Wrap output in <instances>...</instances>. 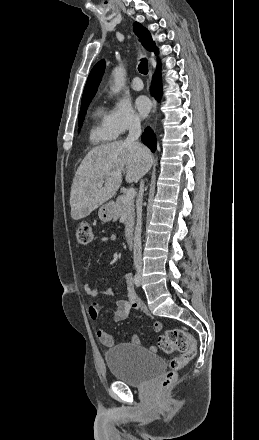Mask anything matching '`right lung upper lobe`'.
Returning <instances> with one entry per match:
<instances>
[{
    "label": "right lung upper lobe",
    "mask_w": 259,
    "mask_h": 440,
    "mask_svg": "<svg viewBox=\"0 0 259 440\" xmlns=\"http://www.w3.org/2000/svg\"><path fill=\"white\" fill-rule=\"evenodd\" d=\"M134 31L138 36L141 44L146 50L154 51L155 54H158V49L155 46V43L152 40V37L149 31L143 27L140 23L135 22L133 24ZM105 70V61H99L91 70L90 75L88 77L87 83L84 88L82 100L93 98L97 92L98 85L102 79Z\"/></svg>",
    "instance_id": "right-lung-upper-lobe-1"
}]
</instances>
